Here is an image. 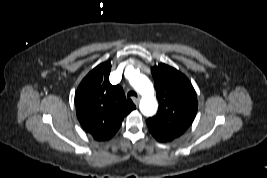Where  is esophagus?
<instances>
[{
	"mask_svg": "<svg viewBox=\"0 0 267 178\" xmlns=\"http://www.w3.org/2000/svg\"><path fill=\"white\" fill-rule=\"evenodd\" d=\"M132 100H133L134 104H135L136 106H138V104H139V98L132 97Z\"/></svg>",
	"mask_w": 267,
	"mask_h": 178,
	"instance_id": "1",
	"label": "esophagus"
}]
</instances>
